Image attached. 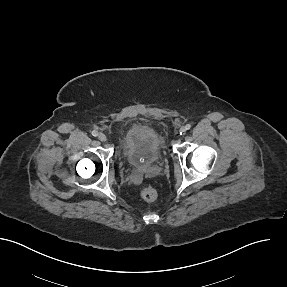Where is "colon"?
I'll return each mask as SVG.
<instances>
[{
    "instance_id": "1",
    "label": "colon",
    "mask_w": 287,
    "mask_h": 287,
    "mask_svg": "<svg viewBox=\"0 0 287 287\" xmlns=\"http://www.w3.org/2000/svg\"><path fill=\"white\" fill-rule=\"evenodd\" d=\"M140 196L143 200L147 202H153L157 199L158 195L154 188L150 186H146V187L141 188Z\"/></svg>"
}]
</instances>
